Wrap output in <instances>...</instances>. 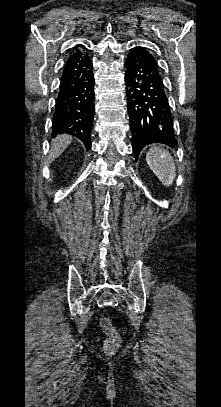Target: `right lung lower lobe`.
<instances>
[{
  "label": "right lung lower lobe",
  "instance_id": "right-lung-lower-lobe-1",
  "mask_svg": "<svg viewBox=\"0 0 221 407\" xmlns=\"http://www.w3.org/2000/svg\"><path fill=\"white\" fill-rule=\"evenodd\" d=\"M92 62L82 45L68 57L60 78L52 135L67 133L91 146L94 108Z\"/></svg>",
  "mask_w": 221,
  "mask_h": 407
}]
</instances>
